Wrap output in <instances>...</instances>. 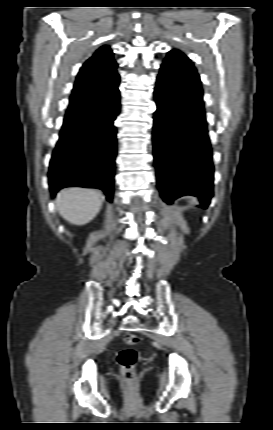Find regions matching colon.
<instances>
[{
  "instance_id": "obj_1",
  "label": "colon",
  "mask_w": 273,
  "mask_h": 430,
  "mask_svg": "<svg viewBox=\"0 0 273 430\" xmlns=\"http://www.w3.org/2000/svg\"><path fill=\"white\" fill-rule=\"evenodd\" d=\"M123 341L128 347L119 352L117 361L124 381L131 386L135 380V366L139 359V353L133 347L139 339L132 333H125Z\"/></svg>"
}]
</instances>
